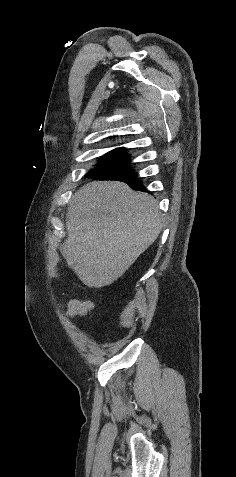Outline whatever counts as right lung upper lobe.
I'll return each mask as SVG.
<instances>
[{
  "label": "right lung upper lobe",
  "mask_w": 236,
  "mask_h": 477,
  "mask_svg": "<svg viewBox=\"0 0 236 477\" xmlns=\"http://www.w3.org/2000/svg\"><path fill=\"white\" fill-rule=\"evenodd\" d=\"M128 157L129 156L125 154L124 148H118L109 152L102 161L123 164L129 167L128 164L126 163V160L128 159Z\"/></svg>",
  "instance_id": "cb5924a9"
}]
</instances>
